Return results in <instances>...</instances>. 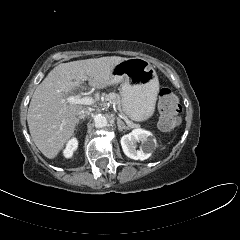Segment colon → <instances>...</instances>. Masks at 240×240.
Returning <instances> with one entry per match:
<instances>
[{
  "label": "colon",
  "mask_w": 240,
  "mask_h": 240,
  "mask_svg": "<svg viewBox=\"0 0 240 240\" xmlns=\"http://www.w3.org/2000/svg\"><path fill=\"white\" fill-rule=\"evenodd\" d=\"M160 127L164 130L173 128L179 122L180 105L175 94L168 87L159 92Z\"/></svg>",
  "instance_id": "colon-1"
}]
</instances>
